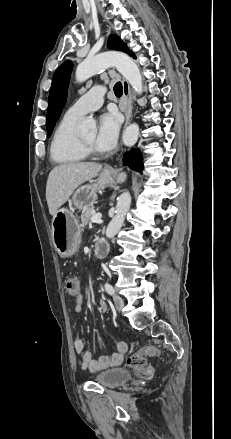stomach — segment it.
<instances>
[{"label": "stomach", "mask_w": 231, "mask_h": 439, "mask_svg": "<svg viewBox=\"0 0 231 439\" xmlns=\"http://www.w3.org/2000/svg\"><path fill=\"white\" fill-rule=\"evenodd\" d=\"M125 173L120 170L103 169L96 180L80 186L68 200L69 208H60L52 219V235L56 251L61 257L76 254L81 242V225L74 215V209L86 210L94 206L97 193L114 183L123 182Z\"/></svg>", "instance_id": "1"}]
</instances>
